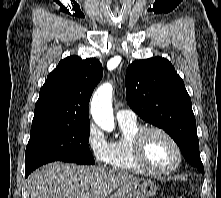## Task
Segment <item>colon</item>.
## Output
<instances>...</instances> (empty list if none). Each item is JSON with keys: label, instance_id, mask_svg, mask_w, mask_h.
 <instances>
[{"label": "colon", "instance_id": "colon-1", "mask_svg": "<svg viewBox=\"0 0 221 198\" xmlns=\"http://www.w3.org/2000/svg\"><path fill=\"white\" fill-rule=\"evenodd\" d=\"M177 198H186V196L184 194H180L177 196Z\"/></svg>", "mask_w": 221, "mask_h": 198}]
</instances>
